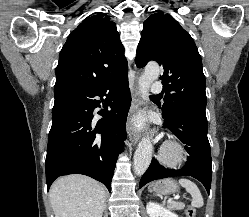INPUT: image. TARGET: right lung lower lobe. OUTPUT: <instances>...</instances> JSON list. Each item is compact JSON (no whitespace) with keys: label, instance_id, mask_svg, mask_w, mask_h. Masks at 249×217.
I'll return each mask as SVG.
<instances>
[{"label":"right lung lower lobe","instance_id":"98d812e1","mask_svg":"<svg viewBox=\"0 0 249 217\" xmlns=\"http://www.w3.org/2000/svg\"><path fill=\"white\" fill-rule=\"evenodd\" d=\"M54 95L45 161L47 189L59 176L84 174L111 191L131 105L127 75L96 87L54 88ZM101 106L111 111L100 110L103 118L95 122L93 111Z\"/></svg>","mask_w":249,"mask_h":217}]
</instances>
